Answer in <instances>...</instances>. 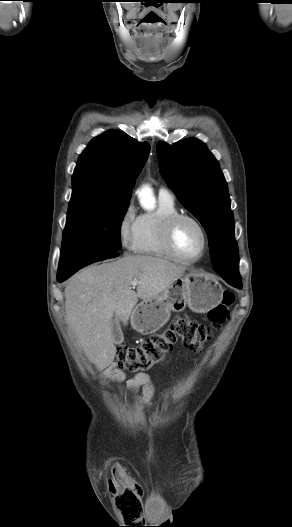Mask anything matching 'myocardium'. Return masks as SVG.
I'll list each match as a JSON object with an SVG mask.
<instances>
[{"instance_id":"1","label":"myocardium","mask_w":292,"mask_h":527,"mask_svg":"<svg viewBox=\"0 0 292 527\" xmlns=\"http://www.w3.org/2000/svg\"><path fill=\"white\" fill-rule=\"evenodd\" d=\"M183 220H189L193 222L199 228L202 234V238H203L202 251L196 258H193V259H188V258L183 257L175 247L174 232L179 222ZM162 242H163L165 249L175 260L185 263V264H194V263L201 261L209 249V236H208L206 228L204 227V225L198 218H196L195 216L191 214H187V213L178 212V213H175L169 216L165 220L163 229H162Z\"/></svg>"}]
</instances>
